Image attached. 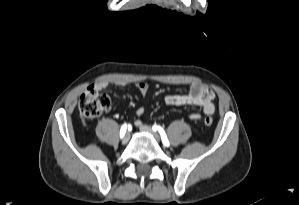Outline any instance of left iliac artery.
Returning <instances> with one entry per match:
<instances>
[{
    "label": "left iliac artery",
    "mask_w": 299,
    "mask_h": 205,
    "mask_svg": "<svg viewBox=\"0 0 299 205\" xmlns=\"http://www.w3.org/2000/svg\"><path fill=\"white\" fill-rule=\"evenodd\" d=\"M152 128H153L154 131H158V132H159L163 144H164L165 146H169L170 143H169V141H168V138H167L166 133H165V131L163 130V128H161L160 126H157V125H154Z\"/></svg>",
    "instance_id": "left-iliac-artery-1"
}]
</instances>
